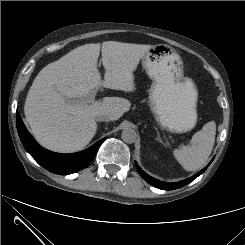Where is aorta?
<instances>
[{"instance_id":"obj_1","label":"aorta","mask_w":245,"mask_h":245,"mask_svg":"<svg viewBox=\"0 0 245 245\" xmlns=\"http://www.w3.org/2000/svg\"><path fill=\"white\" fill-rule=\"evenodd\" d=\"M121 138L125 143L131 144L136 141L137 134L136 131L132 128H124L121 133Z\"/></svg>"}]
</instances>
